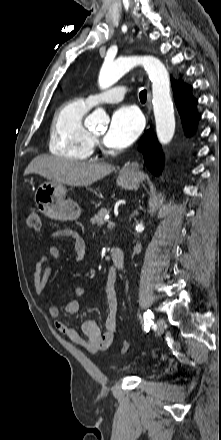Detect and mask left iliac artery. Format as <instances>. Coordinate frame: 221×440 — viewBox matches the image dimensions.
<instances>
[{"label": "left iliac artery", "mask_w": 221, "mask_h": 440, "mask_svg": "<svg viewBox=\"0 0 221 440\" xmlns=\"http://www.w3.org/2000/svg\"><path fill=\"white\" fill-rule=\"evenodd\" d=\"M154 318V315L151 310H147L144 313V324H145V331H148L150 329V325L153 323L152 319Z\"/></svg>", "instance_id": "left-iliac-artery-1"}]
</instances>
